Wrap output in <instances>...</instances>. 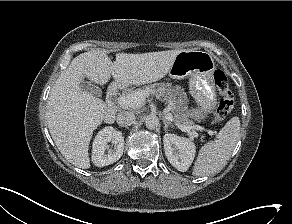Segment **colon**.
Instances as JSON below:
<instances>
[{"label": "colon", "mask_w": 292, "mask_h": 224, "mask_svg": "<svg viewBox=\"0 0 292 224\" xmlns=\"http://www.w3.org/2000/svg\"><path fill=\"white\" fill-rule=\"evenodd\" d=\"M213 78L219 90V98L214 111L213 121L220 122L231 112L234 100L225 72L218 69L214 72Z\"/></svg>", "instance_id": "5ec220e1"}]
</instances>
